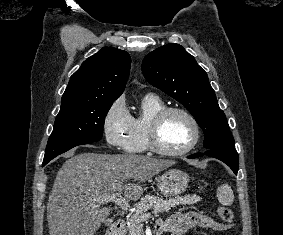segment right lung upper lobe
<instances>
[{"label": "right lung upper lobe", "instance_id": "cb5924a9", "mask_svg": "<svg viewBox=\"0 0 283 235\" xmlns=\"http://www.w3.org/2000/svg\"><path fill=\"white\" fill-rule=\"evenodd\" d=\"M130 65L131 58L126 51L102 48L71 76L62 103L116 100L124 91Z\"/></svg>", "mask_w": 283, "mask_h": 235}]
</instances>
